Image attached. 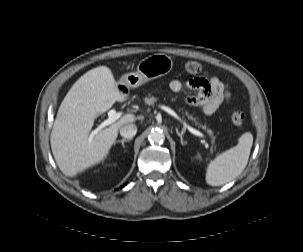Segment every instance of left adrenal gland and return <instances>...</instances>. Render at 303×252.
I'll return each mask as SVG.
<instances>
[{
  "label": "left adrenal gland",
  "mask_w": 303,
  "mask_h": 252,
  "mask_svg": "<svg viewBox=\"0 0 303 252\" xmlns=\"http://www.w3.org/2000/svg\"><path fill=\"white\" fill-rule=\"evenodd\" d=\"M176 133L178 134V136L180 137V142H181V144L182 145H184L185 144V142L183 141V137H182V135L179 133V131H178V129L176 128Z\"/></svg>",
  "instance_id": "a2214340"
}]
</instances>
